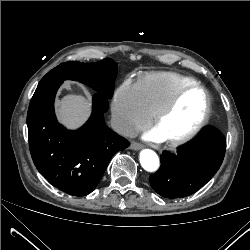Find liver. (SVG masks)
Listing matches in <instances>:
<instances>
[{
  "label": "liver",
  "mask_w": 250,
  "mask_h": 250,
  "mask_svg": "<svg viewBox=\"0 0 250 250\" xmlns=\"http://www.w3.org/2000/svg\"><path fill=\"white\" fill-rule=\"evenodd\" d=\"M90 110L89 100L81 95L68 94L57 102L58 118L70 129L81 126L87 120Z\"/></svg>",
  "instance_id": "liver-1"
}]
</instances>
